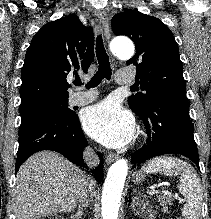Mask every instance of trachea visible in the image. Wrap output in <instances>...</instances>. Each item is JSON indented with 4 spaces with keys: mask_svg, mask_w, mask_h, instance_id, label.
<instances>
[{
    "mask_svg": "<svg viewBox=\"0 0 211 219\" xmlns=\"http://www.w3.org/2000/svg\"><path fill=\"white\" fill-rule=\"evenodd\" d=\"M96 56L99 68L96 74L86 85V88H93L98 86L104 78H106L107 80L111 79L112 70L110 67L109 57L104 48L103 39L101 35H98L96 38ZM74 84L80 86L82 85V82L80 80H76ZM131 89L134 88L131 87Z\"/></svg>",
    "mask_w": 211,
    "mask_h": 219,
    "instance_id": "trachea-1",
    "label": "trachea"
}]
</instances>
